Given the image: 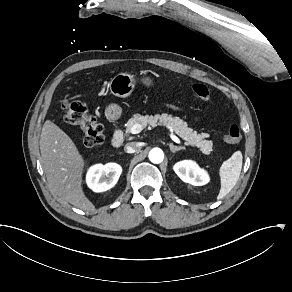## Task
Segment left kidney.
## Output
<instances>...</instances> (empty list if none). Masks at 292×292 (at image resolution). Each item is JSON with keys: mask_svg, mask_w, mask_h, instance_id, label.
I'll return each mask as SVG.
<instances>
[{"mask_svg": "<svg viewBox=\"0 0 292 292\" xmlns=\"http://www.w3.org/2000/svg\"><path fill=\"white\" fill-rule=\"evenodd\" d=\"M175 173L184 181L192 185L202 186L208 182V176L194 163L183 161L174 166Z\"/></svg>", "mask_w": 292, "mask_h": 292, "instance_id": "left-kidney-1", "label": "left kidney"}]
</instances>
